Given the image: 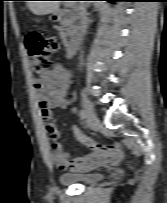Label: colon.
Segmentation results:
<instances>
[{"label":"colon","instance_id":"obj_1","mask_svg":"<svg viewBox=\"0 0 167 203\" xmlns=\"http://www.w3.org/2000/svg\"><path fill=\"white\" fill-rule=\"evenodd\" d=\"M25 47L34 72L44 73L52 68L53 61L50 56L58 50L55 39L45 38L37 32H32L25 39Z\"/></svg>","mask_w":167,"mask_h":203}]
</instances>
